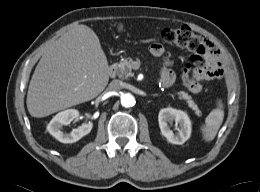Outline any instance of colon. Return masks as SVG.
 <instances>
[{
    "instance_id": "5ec220e1",
    "label": "colon",
    "mask_w": 260,
    "mask_h": 192,
    "mask_svg": "<svg viewBox=\"0 0 260 192\" xmlns=\"http://www.w3.org/2000/svg\"><path fill=\"white\" fill-rule=\"evenodd\" d=\"M117 29H120V26H117ZM162 38L168 44L186 48L191 52V63L185 67L182 80L189 90H195L196 79L194 72L204 65L206 55L213 49L212 45L188 27L164 29L162 31Z\"/></svg>"
}]
</instances>
